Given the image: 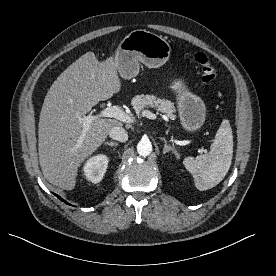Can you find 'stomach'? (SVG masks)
Wrapping results in <instances>:
<instances>
[{
	"label": "stomach",
	"mask_w": 276,
	"mask_h": 276,
	"mask_svg": "<svg viewBox=\"0 0 276 276\" xmlns=\"http://www.w3.org/2000/svg\"><path fill=\"white\" fill-rule=\"evenodd\" d=\"M170 55L171 46L162 36L146 30H134L119 43L114 59L120 76L130 80L138 75L140 64L158 68L169 60ZM170 89L176 94L182 127L188 132L201 128L206 119L204 101L191 93L182 79H174Z\"/></svg>",
	"instance_id": "0dacf381"
}]
</instances>
